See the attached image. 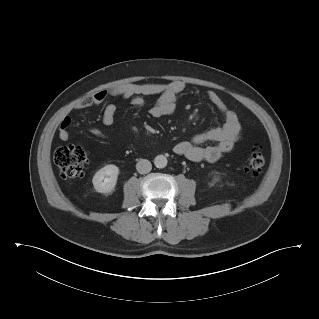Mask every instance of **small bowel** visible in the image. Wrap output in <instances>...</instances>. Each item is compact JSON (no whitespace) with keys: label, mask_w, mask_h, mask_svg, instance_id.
<instances>
[{"label":"small bowel","mask_w":319,"mask_h":319,"mask_svg":"<svg viewBox=\"0 0 319 319\" xmlns=\"http://www.w3.org/2000/svg\"><path fill=\"white\" fill-rule=\"evenodd\" d=\"M186 88L185 82L174 80L167 83L123 84L109 89L99 90L76 103V110H84L92 106L104 104L109 97H123L129 99L133 105L142 106L145 97L158 95L156 103L150 110L153 117L163 118L172 115L176 109V100ZM208 99L213 107L223 116L224 123L220 127L208 129L195 134L190 140H183L175 144L173 151L190 161L215 162L231 152L241 136V124L237 114L229 109L222 98L214 91L208 92ZM117 108L109 103L105 106L101 122L104 126H111L115 121ZM72 119L65 116L58 129L61 141L70 138L69 128ZM90 132L99 138H105V133L98 127H92ZM206 142L215 145L203 146Z\"/></svg>","instance_id":"1"}]
</instances>
